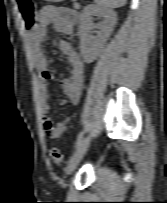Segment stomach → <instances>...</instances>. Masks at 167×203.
I'll list each match as a JSON object with an SVG mask.
<instances>
[{
    "mask_svg": "<svg viewBox=\"0 0 167 203\" xmlns=\"http://www.w3.org/2000/svg\"><path fill=\"white\" fill-rule=\"evenodd\" d=\"M47 2H62L63 0H45Z\"/></svg>",
    "mask_w": 167,
    "mask_h": 203,
    "instance_id": "obj_1",
    "label": "stomach"
}]
</instances>
